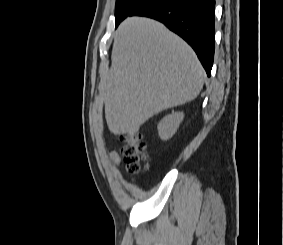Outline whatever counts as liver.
Here are the masks:
<instances>
[{
    "label": "liver",
    "instance_id": "6515ba94",
    "mask_svg": "<svg viewBox=\"0 0 283 245\" xmlns=\"http://www.w3.org/2000/svg\"><path fill=\"white\" fill-rule=\"evenodd\" d=\"M111 61L101 94L108 128L116 135L135 134L148 119L192 101L203 88L205 72L192 48L149 18L120 24Z\"/></svg>",
    "mask_w": 283,
    "mask_h": 245
}]
</instances>
